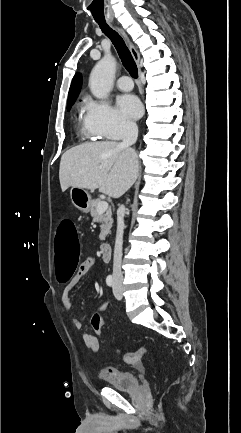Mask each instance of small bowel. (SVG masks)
<instances>
[{
  "label": "small bowel",
  "instance_id": "1",
  "mask_svg": "<svg viewBox=\"0 0 241 433\" xmlns=\"http://www.w3.org/2000/svg\"><path fill=\"white\" fill-rule=\"evenodd\" d=\"M95 261L93 258H88L84 262H82L75 273V275L72 277V279L68 282V284L64 287L62 295H61V302L64 306V308L68 311L72 309V297L75 292V290L78 288V286L81 284L91 267L94 265ZM106 308V302L101 301L98 305V309L100 311L104 310ZM99 315V314H98ZM101 316V315H100ZM102 321L101 325L103 326L104 320L101 316ZM73 325L77 329H81L83 327L82 321L79 318H73L72 320ZM93 327V326H92ZM82 338L84 340L85 345L87 348H89L91 351H98L99 350V342L95 335L91 333H84L82 335ZM90 342H94V346L92 347L90 345ZM111 373L116 372L115 369H110Z\"/></svg>",
  "mask_w": 241,
  "mask_h": 433
}]
</instances>
